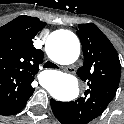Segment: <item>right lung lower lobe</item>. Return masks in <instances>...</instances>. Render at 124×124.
Instances as JSON below:
<instances>
[{
  "mask_svg": "<svg viewBox=\"0 0 124 124\" xmlns=\"http://www.w3.org/2000/svg\"><path fill=\"white\" fill-rule=\"evenodd\" d=\"M26 103H24L22 106L16 108V109H12V110H7V111H0L1 115H13L18 113L20 110H22L25 107Z\"/></svg>",
  "mask_w": 124,
  "mask_h": 124,
  "instance_id": "98d812e1",
  "label": "right lung lower lobe"
}]
</instances>
